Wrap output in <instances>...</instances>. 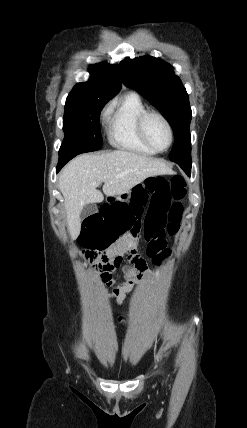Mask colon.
<instances>
[{
	"label": "colon",
	"mask_w": 247,
	"mask_h": 428,
	"mask_svg": "<svg viewBox=\"0 0 247 428\" xmlns=\"http://www.w3.org/2000/svg\"><path fill=\"white\" fill-rule=\"evenodd\" d=\"M186 195V183L182 176L171 180L150 179L138 186L132 199H113L111 204H101V212H89L84 219L83 234H77V243H84L86 256L97 258L96 269L106 284L111 273L120 266L122 259L110 258L107 247L115 246V239H122L123 232L138 240L141 235L147 240V254L156 265L167 255L165 234H174L182 216L181 201ZM98 251L99 254H97ZM130 260L135 267L145 264L136 250L131 251ZM146 304L145 300L141 301ZM133 323V320H130Z\"/></svg>",
	"instance_id": "5ec220e1"
}]
</instances>
